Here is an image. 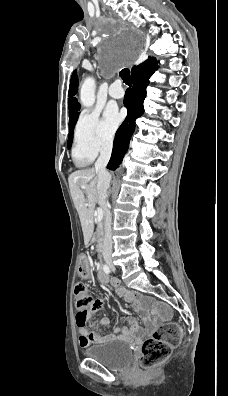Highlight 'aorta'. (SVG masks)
Segmentation results:
<instances>
[{
  "mask_svg": "<svg viewBox=\"0 0 228 396\" xmlns=\"http://www.w3.org/2000/svg\"><path fill=\"white\" fill-rule=\"evenodd\" d=\"M96 82L93 77H87L80 89V101L82 106L90 108L95 103Z\"/></svg>",
  "mask_w": 228,
  "mask_h": 396,
  "instance_id": "aorta-1",
  "label": "aorta"
}]
</instances>
